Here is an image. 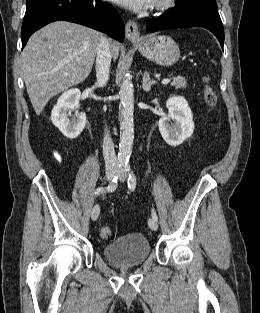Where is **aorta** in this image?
<instances>
[{
	"label": "aorta",
	"mask_w": 260,
	"mask_h": 313,
	"mask_svg": "<svg viewBox=\"0 0 260 313\" xmlns=\"http://www.w3.org/2000/svg\"><path fill=\"white\" fill-rule=\"evenodd\" d=\"M119 121H120V143L118 160L121 164H126L132 153L134 140V88L128 78H124L119 91Z\"/></svg>",
	"instance_id": "1"
}]
</instances>
